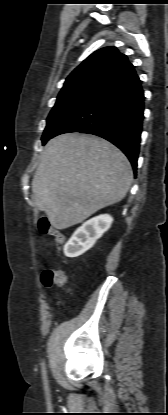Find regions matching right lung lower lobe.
<instances>
[{"label": "right lung lower lobe", "instance_id": "98d812e1", "mask_svg": "<svg viewBox=\"0 0 168 415\" xmlns=\"http://www.w3.org/2000/svg\"><path fill=\"white\" fill-rule=\"evenodd\" d=\"M143 112L144 92L133 70L80 109L53 137L69 132L100 136L123 151L136 173Z\"/></svg>", "mask_w": 168, "mask_h": 415}]
</instances>
